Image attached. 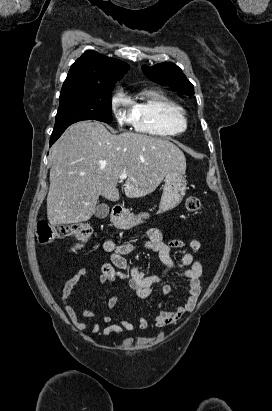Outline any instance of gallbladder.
<instances>
[{"label":"gallbladder","mask_w":272,"mask_h":411,"mask_svg":"<svg viewBox=\"0 0 272 411\" xmlns=\"http://www.w3.org/2000/svg\"><path fill=\"white\" fill-rule=\"evenodd\" d=\"M109 206L105 203H100L96 207L95 216L99 219L106 218L109 214Z\"/></svg>","instance_id":"1"}]
</instances>
